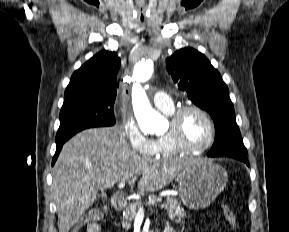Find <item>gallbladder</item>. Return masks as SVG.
<instances>
[{"mask_svg":"<svg viewBox=\"0 0 289 232\" xmlns=\"http://www.w3.org/2000/svg\"><path fill=\"white\" fill-rule=\"evenodd\" d=\"M99 198L101 197V199L105 200L106 199V195L104 193H102L101 195L98 196Z\"/></svg>","mask_w":289,"mask_h":232,"instance_id":"1","label":"gallbladder"}]
</instances>
